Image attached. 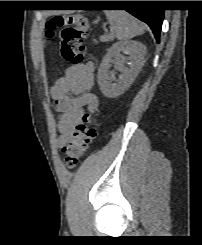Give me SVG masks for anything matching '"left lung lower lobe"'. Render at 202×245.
Instances as JSON below:
<instances>
[{
	"mask_svg": "<svg viewBox=\"0 0 202 245\" xmlns=\"http://www.w3.org/2000/svg\"><path fill=\"white\" fill-rule=\"evenodd\" d=\"M107 6L128 7L126 11L145 22L151 28L156 41L159 42V36L164 17V10L149 8L153 1H104ZM134 6V8H132Z\"/></svg>",
	"mask_w": 202,
	"mask_h": 245,
	"instance_id": "left-lung-lower-lobe-1",
	"label": "left lung lower lobe"
}]
</instances>
